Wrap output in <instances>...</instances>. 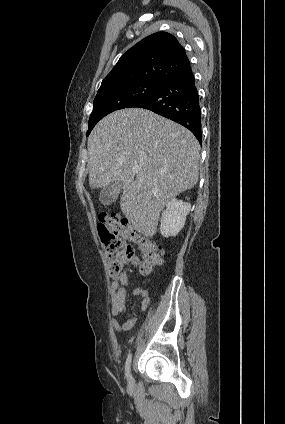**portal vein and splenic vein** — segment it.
I'll list each match as a JSON object with an SVG mask.
<instances>
[{
    "mask_svg": "<svg viewBox=\"0 0 285 424\" xmlns=\"http://www.w3.org/2000/svg\"><path fill=\"white\" fill-rule=\"evenodd\" d=\"M132 172L133 173H138L139 172V168L137 166L132 167Z\"/></svg>",
    "mask_w": 285,
    "mask_h": 424,
    "instance_id": "18ae733b",
    "label": "portal vein and splenic vein"
}]
</instances>
